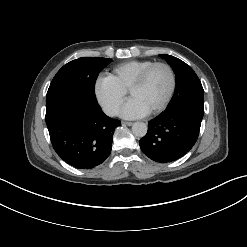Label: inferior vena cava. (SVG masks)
<instances>
[{
  "instance_id": "1",
  "label": "inferior vena cava",
  "mask_w": 247,
  "mask_h": 247,
  "mask_svg": "<svg viewBox=\"0 0 247 247\" xmlns=\"http://www.w3.org/2000/svg\"><path fill=\"white\" fill-rule=\"evenodd\" d=\"M105 113L109 116H115L117 114V110L113 107L105 108Z\"/></svg>"
}]
</instances>
